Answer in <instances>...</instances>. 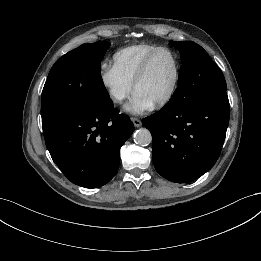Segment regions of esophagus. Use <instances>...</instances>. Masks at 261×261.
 I'll list each match as a JSON object with an SVG mask.
<instances>
[{
    "instance_id": "esophagus-1",
    "label": "esophagus",
    "mask_w": 261,
    "mask_h": 261,
    "mask_svg": "<svg viewBox=\"0 0 261 261\" xmlns=\"http://www.w3.org/2000/svg\"><path fill=\"white\" fill-rule=\"evenodd\" d=\"M131 120L133 122L134 127H136V128H138L142 125L141 120L138 118L132 117Z\"/></svg>"
}]
</instances>
